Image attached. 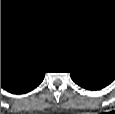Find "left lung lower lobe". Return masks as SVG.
I'll list each match as a JSON object with an SVG mask.
<instances>
[{
  "label": "left lung lower lobe",
  "instance_id": "0a47b994",
  "mask_svg": "<svg viewBox=\"0 0 115 114\" xmlns=\"http://www.w3.org/2000/svg\"><path fill=\"white\" fill-rule=\"evenodd\" d=\"M70 76L82 88L101 90L115 80V69L95 60H86L79 62L76 72Z\"/></svg>",
  "mask_w": 115,
  "mask_h": 114
}]
</instances>
